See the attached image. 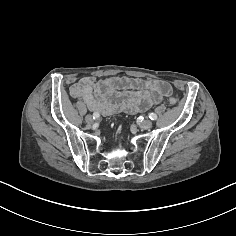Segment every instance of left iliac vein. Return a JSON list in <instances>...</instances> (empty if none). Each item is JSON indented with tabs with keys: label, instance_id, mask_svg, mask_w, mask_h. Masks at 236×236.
Here are the masks:
<instances>
[{
	"label": "left iliac vein",
	"instance_id": "4c4485c4",
	"mask_svg": "<svg viewBox=\"0 0 236 236\" xmlns=\"http://www.w3.org/2000/svg\"><path fill=\"white\" fill-rule=\"evenodd\" d=\"M140 126L143 129H149L152 127V121L151 120H144L141 122Z\"/></svg>",
	"mask_w": 236,
	"mask_h": 236
}]
</instances>
